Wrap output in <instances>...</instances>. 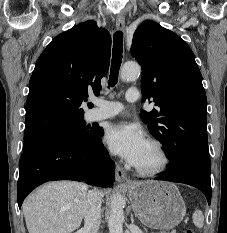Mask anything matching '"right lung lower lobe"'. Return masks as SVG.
<instances>
[{
	"label": "right lung lower lobe",
	"mask_w": 227,
	"mask_h": 233,
	"mask_svg": "<svg viewBox=\"0 0 227 233\" xmlns=\"http://www.w3.org/2000/svg\"><path fill=\"white\" fill-rule=\"evenodd\" d=\"M104 132L84 141H54L23 151L19 162L18 205L37 186L55 180H75L112 187L115 164L101 141Z\"/></svg>",
	"instance_id": "right-lung-lower-lobe-1"
}]
</instances>
